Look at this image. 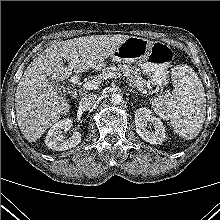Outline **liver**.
<instances>
[{"instance_id":"1","label":"liver","mask_w":220,"mask_h":220,"mask_svg":"<svg viewBox=\"0 0 220 220\" xmlns=\"http://www.w3.org/2000/svg\"><path fill=\"white\" fill-rule=\"evenodd\" d=\"M127 35H92L55 42L29 64L18 83L15 109L25 139L35 142L71 105L53 85L72 72H86L103 62L126 40ZM68 61V66H64Z\"/></svg>"}]
</instances>
